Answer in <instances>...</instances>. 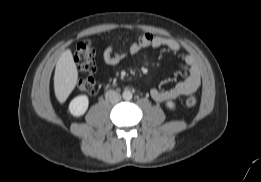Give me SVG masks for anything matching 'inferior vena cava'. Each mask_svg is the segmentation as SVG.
I'll return each instance as SVG.
<instances>
[{"label":"inferior vena cava","instance_id":"inferior-vena-cava-1","mask_svg":"<svg viewBox=\"0 0 261 182\" xmlns=\"http://www.w3.org/2000/svg\"><path fill=\"white\" fill-rule=\"evenodd\" d=\"M105 99L110 103H117L121 100V95L116 91L109 90L105 94Z\"/></svg>","mask_w":261,"mask_h":182}]
</instances>
